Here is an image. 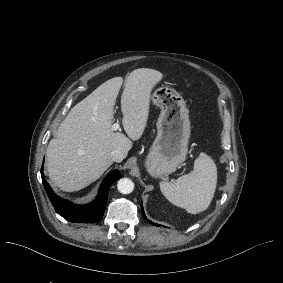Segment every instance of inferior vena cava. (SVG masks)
I'll return each mask as SVG.
<instances>
[{
	"label": "inferior vena cava",
	"instance_id": "inferior-vena-cava-1",
	"mask_svg": "<svg viewBox=\"0 0 283 283\" xmlns=\"http://www.w3.org/2000/svg\"><path fill=\"white\" fill-rule=\"evenodd\" d=\"M111 156L113 161L115 162H121L125 158L124 155L121 153V151L118 149L113 150L111 152Z\"/></svg>",
	"mask_w": 283,
	"mask_h": 283
}]
</instances>
